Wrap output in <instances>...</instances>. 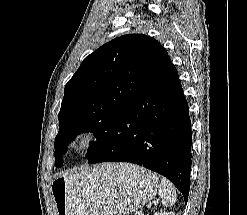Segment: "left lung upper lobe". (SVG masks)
Masks as SVG:
<instances>
[{
    "label": "left lung upper lobe",
    "mask_w": 247,
    "mask_h": 215,
    "mask_svg": "<svg viewBox=\"0 0 247 215\" xmlns=\"http://www.w3.org/2000/svg\"><path fill=\"white\" fill-rule=\"evenodd\" d=\"M167 56L155 39L142 34L120 36L87 56L68 81L55 138L56 167L77 134L93 132L97 141L88 154L99 151L140 88Z\"/></svg>",
    "instance_id": "left-lung-upper-lobe-1"
}]
</instances>
